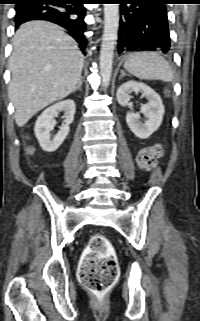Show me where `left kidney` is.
<instances>
[{
  "mask_svg": "<svg viewBox=\"0 0 200 321\" xmlns=\"http://www.w3.org/2000/svg\"><path fill=\"white\" fill-rule=\"evenodd\" d=\"M141 92L148 100L141 108V113L144 114L146 120L144 123L140 122V114L128 112L126 115V122L130 130L141 139L150 137L161 125L164 106L161 97L149 86L135 81H128L123 83L117 90V100L122 106H128L131 99V93Z\"/></svg>",
  "mask_w": 200,
  "mask_h": 321,
  "instance_id": "left-kidney-1",
  "label": "left kidney"
}]
</instances>
